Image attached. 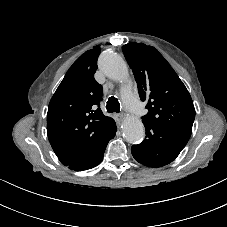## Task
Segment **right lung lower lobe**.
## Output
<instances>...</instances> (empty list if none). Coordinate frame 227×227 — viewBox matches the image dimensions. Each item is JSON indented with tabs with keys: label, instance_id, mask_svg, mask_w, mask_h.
Instances as JSON below:
<instances>
[{
	"label": "right lung lower lobe",
	"instance_id": "1",
	"mask_svg": "<svg viewBox=\"0 0 227 227\" xmlns=\"http://www.w3.org/2000/svg\"><path fill=\"white\" fill-rule=\"evenodd\" d=\"M116 131H117L116 124L113 121L109 125V127L105 133V138H104L102 144L97 148V150L95 152H93L92 154L85 156L81 159H78L67 166L70 169L75 170V171L87 170V169H91V168L97 166L102 161L104 152H105V148H106L109 140L114 138Z\"/></svg>",
	"mask_w": 227,
	"mask_h": 227
}]
</instances>
